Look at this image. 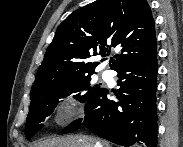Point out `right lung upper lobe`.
Returning <instances> with one entry per match:
<instances>
[{
    "label": "right lung upper lobe",
    "mask_w": 183,
    "mask_h": 147,
    "mask_svg": "<svg viewBox=\"0 0 183 147\" xmlns=\"http://www.w3.org/2000/svg\"><path fill=\"white\" fill-rule=\"evenodd\" d=\"M111 48L120 53L112 70L124 63L157 53L155 25L146 0H97L70 14L58 27L31 89L60 79L93 74Z\"/></svg>",
    "instance_id": "cb5924a9"
}]
</instances>
